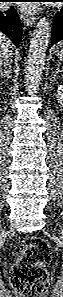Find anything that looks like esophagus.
Wrapping results in <instances>:
<instances>
[{"label": "esophagus", "mask_w": 63, "mask_h": 297, "mask_svg": "<svg viewBox=\"0 0 63 297\" xmlns=\"http://www.w3.org/2000/svg\"><path fill=\"white\" fill-rule=\"evenodd\" d=\"M21 19L23 20L25 25L31 26L35 23L36 16L30 12H23L21 14Z\"/></svg>", "instance_id": "1"}]
</instances>
